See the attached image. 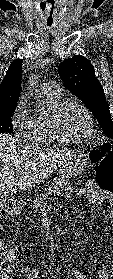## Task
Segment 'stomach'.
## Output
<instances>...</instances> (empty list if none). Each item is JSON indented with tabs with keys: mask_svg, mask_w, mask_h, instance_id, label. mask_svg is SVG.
Here are the masks:
<instances>
[{
	"mask_svg": "<svg viewBox=\"0 0 113 279\" xmlns=\"http://www.w3.org/2000/svg\"><path fill=\"white\" fill-rule=\"evenodd\" d=\"M89 162L88 153L82 150H72L68 159L61 165L60 174L62 179L69 180L80 175Z\"/></svg>",
	"mask_w": 113,
	"mask_h": 279,
	"instance_id": "0dacf381",
	"label": "stomach"
}]
</instances>
